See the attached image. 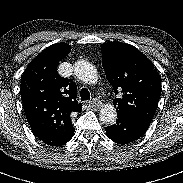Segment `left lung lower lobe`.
I'll return each instance as SVG.
<instances>
[{
    "mask_svg": "<svg viewBox=\"0 0 183 183\" xmlns=\"http://www.w3.org/2000/svg\"><path fill=\"white\" fill-rule=\"evenodd\" d=\"M114 125L106 128L107 136L114 142L127 144L139 139L148 129L149 124L135 117L117 114Z\"/></svg>",
    "mask_w": 183,
    "mask_h": 183,
    "instance_id": "1",
    "label": "left lung lower lobe"
}]
</instances>
